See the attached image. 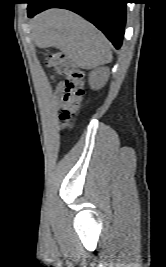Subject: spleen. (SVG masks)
<instances>
[{
    "label": "spleen",
    "mask_w": 166,
    "mask_h": 267,
    "mask_svg": "<svg viewBox=\"0 0 166 267\" xmlns=\"http://www.w3.org/2000/svg\"><path fill=\"white\" fill-rule=\"evenodd\" d=\"M34 35L38 46L58 47L85 68H96L112 59L105 36L91 23L67 10L51 9L41 14Z\"/></svg>",
    "instance_id": "3e777b00"
}]
</instances>
